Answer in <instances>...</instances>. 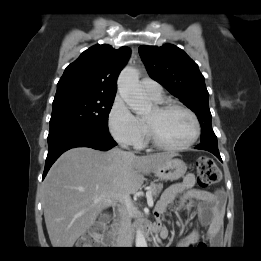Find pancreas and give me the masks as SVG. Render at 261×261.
<instances>
[{
    "label": "pancreas",
    "instance_id": "pancreas-1",
    "mask_svg": "<svg viewBox=\"0 0 261 261\" xmlns=\"http://www.w3.org/2000/svg\"><path fill=\"white\" fill-rule=\"evenodd\" d=\"M162 189H163V184H161V183L156 184V183L152 182L150 184L151 194H152L153 198H155V199L159 196Z\"/></svg>",
    "mask_w": 261,
    "mask_h": 261
}]
</instances>
